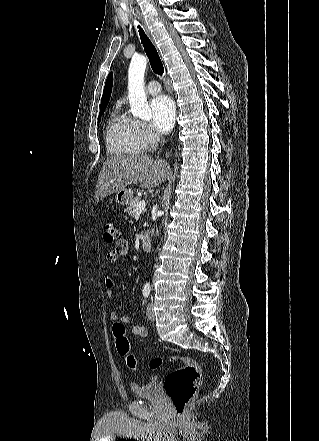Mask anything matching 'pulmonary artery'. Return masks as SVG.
<instances>
[{"mask_svg":"<svg viewBox=\"0 0 319 441\" xmlns=\"http://www.w3.org/2000/svg\"><path fill=\"white\" fill-rule=\"evenodd\" d=\"M160 89L159 83L155 80L150 81L146 87V91L152 95L159 93Z\"/></svg>","mask_w":319,"mask_h":441,"instance_id":"pulmonary-artery-1","label":"pulmonary artery"}]
</instances>
